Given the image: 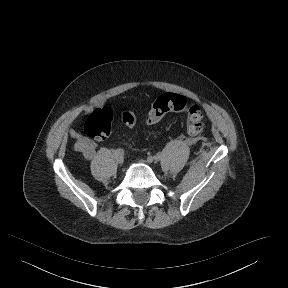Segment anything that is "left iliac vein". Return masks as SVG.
Wrapping results in <instances>:
<instances>
[{
  "instance_id": "4c4485c4",
  "label": "left iliac vein",
  "mask_w": 288,
  "mask_h": 288,
  "mask_svg": "<svg viewBox=\"0 0 288 288\" xmlns=\"http://www.w3.org/2000/svg\"><path fill=\"white\" fill-rule=\"evenodd\" d=\"M142 162L147 163V164H151L152 163V159L151 158H147V160H142Z\"/></svg>"
}]
</instances>
